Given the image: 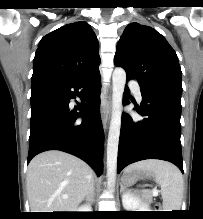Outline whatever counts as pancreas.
Segmentation results:
<instances>
[{"label": "pancreas", "mask_w": 203, "mask_h": 219, "mask_svg": "<svg viewBox=\"0 0 203 219\" xmlns=\"http://www.w3.org/2000/svg\"><path fill=\"white\" fill-rule=\"evenodd\" d=\"M141 197H142V199H143L144 201H146L147 203H151L152 200H153L152 195L149 194V193H143V194L141 195Z\"/></svg>", "instance_id": "obj_1"}]
</instances>
